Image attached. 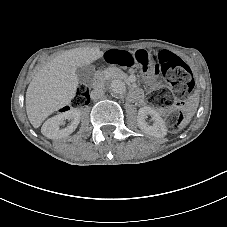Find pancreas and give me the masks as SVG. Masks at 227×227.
<instances>
[{
	"label": "pancreas",
	"instance_id": "obj_1",
	"mask_svg": "<svg viewBox=\"0 0 227 227\" xmlns=\"http://www.w3.org/2000/svg\"><path fill=\"white\" fill-rule=\"evenodd\" d=\"M104 77L107 78H124L125 74L117 68H111L102 72Z\"/></svg>",
	"mask_w": 227,
	"mask_h": 227
}]
</instances>
